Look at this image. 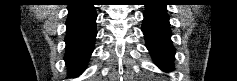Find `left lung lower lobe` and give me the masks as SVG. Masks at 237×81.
I'll list each match as a JSON object with an SVG mask.
<instances>
[{
	"mask_svg": "<svg viewBox=\"0 0 237 81\" xmlns=\"http://www.w3.org/2000/svg\"><path fill=\"white\" fill-rule=\"evenodd\" d=\"M164 4H148L142 31L153 60L164 71L173 68L175 50L171 42L169 18Z\"/></svg>",
	"mask_w": 237,
	"mask_h": 81,
	"instance_id": "obj_1",
	"label": "left lung lower lobe"
}]
</instances>
